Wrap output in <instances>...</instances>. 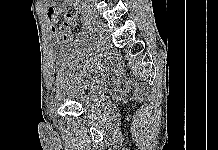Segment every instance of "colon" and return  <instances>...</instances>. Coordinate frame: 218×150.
Instances as JSON below:
<instances>
[{
	"instance_id": "5ec220e1",
	"label": "colon",
	"mask_w": 218,
	"mask_h": 150,
	"mask_svg": "<svg viewBox=\"0 0 218 150\" xmlns=\"http://www.w3.org/2000/svg\"><path fill=\"white\" fill-rule=\"evenodd\" d=\"M73 28L63 31L56 39L58 41H68L73 37Z\"/></svg>"
}]
</instances>
